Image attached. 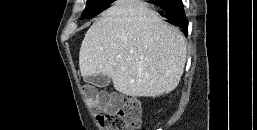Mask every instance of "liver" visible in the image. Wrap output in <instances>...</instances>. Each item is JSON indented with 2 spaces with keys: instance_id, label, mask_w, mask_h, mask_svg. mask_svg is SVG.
<instances>
[{
  "instance_id": "liver-1",
  "label": "liver",
  "mask_w": 257,
  "mask_h": 130,
  "mask_svg": "<svg viewBox=\"0 0 257 130\" xmlns=\"http://www.w3.org/2000/svg\"><path fill=\"white\" fill-rule=\"evenodd\" d=\"M187 44L178 28L139 0L117 1L86 32L81 75H107L127 96L159 97L181 80Z\"/></svg>"
}]
</instances>
